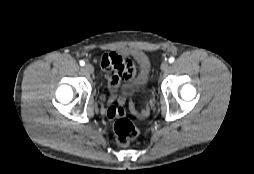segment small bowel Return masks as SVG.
I'll return each instance as SVG.
<instances>
[{"instance_id":"c3829d8e","label":"small bowel","mask_w":254,"mask_h":174,"mask_svg":"<svg viewBox=\"0 0 254 174\" xmlns=\"http://www.w3.org/2000/svg\"><path fill=\"white\" fill-rule=\"evenodd\" d=\"M102 71L109 85L107 102H111L124 81L130 80L136 73L137 64L130 57H123L116 53H110L102 58ZM116 107L106 109V116L110 119L115 118L113 110Z\"/></svg>"}]
</instances>
